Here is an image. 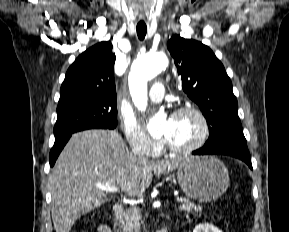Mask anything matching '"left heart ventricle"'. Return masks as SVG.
I'll return each instance as SVG.
<instances>
[{
    "instance_id": "obj_1",
    "label": "left heart ventricle",
    "mask_w": 289,
    "mask_h": 232,
    "mask_svg": "<svg viewBox=\"0 0 289 232\" xmlns=\"http://www.w3.org/2000/svg\"><path fill=\"white\" fill-rule=\"evenodd\" d=\"M162 133L171 144L184 147L198 140L201 124L194 114L183 113L169 118L162 126Z\"/></svg>"
}]
</instances>
